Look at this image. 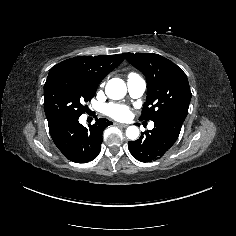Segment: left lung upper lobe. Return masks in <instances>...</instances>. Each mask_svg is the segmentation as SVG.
<instances>
[{
	"mask_svg": "<svg viewBox=\"0 0 236 236\" xmlns=\"http://www.w3.org/2000/svg\"><path fill=\"white\" fill-rule=\"evenodd\" d=\"M125 57L147 79V98L140 121H155L167 115L187 116L191 91L180 67L154 53H126Z\"/></svg>",
	"mask_w": 236,
	"mask_h": 236,
	"instance_id": "1",
	"label": "left lung upper lobe"
}]
</instances>
